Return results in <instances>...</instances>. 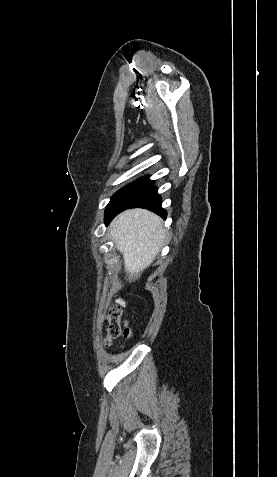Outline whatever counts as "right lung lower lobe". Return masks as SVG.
Masks as SVG:
<instances>
[{
  "label": "right lung lower lobe",
  "mask_w": 277,
  "mask_h": 477,
  "mask_svg": "<svg viewBox=\"0 0 277 477\" xmlns=\"http://www.w3.org/2000/svg\"><path fill=\"white\" fill-rule=\"evenodd\" d=\"M162 200L161 196L157 193V187L154 186V183L143 192L130 206L129 208H146L151 210L163 218H166V211L162 209Z\"/></svg>",
  "instance_id": "obj_1"
}]
</instances>
